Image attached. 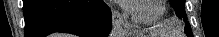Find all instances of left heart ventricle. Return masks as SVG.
Segmentation results:
<instances>
[{"instance_id":"1","label":"left heart ventricle","mask_w":219,"mask_h":37,"mask_svg":"<svg viewBox=\"0 0 219 37\" xmlns=\"http://www.w3.org/2000/svg\"><path fill=\"white\" fill-rule=\"evenodd\" d=\"M157 1L155 0H142L135 2L133 10L140 16H151L157 11Z\"/></svg>"}]
</instances>
